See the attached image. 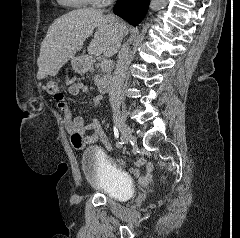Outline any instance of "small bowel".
Returning <instances> with one entry per match:
<instances>
[{"mask_svg":"<svg viewBox=\"0 0 240 238\" xmlns=\"http://www.w3.org/2000/svg\"><path fill=\"white\" fill-rule=\"evenodd\" d=\"M68 92L72 95H78L80 93L88 92L87 86L81 82H72L68 87ZM102 95H98L92 100L93 109L97 108L98 105L103 100ZM58 107L62 113L63 123L67 132L73 137L76 134L81 135L82 142L81 144H74L76 148H81L83 145L92 144L99 140V143H102L103 146H108V151H113L114 147L110 146V141L106 137L101 122L98 118H92L90 121H86L80 116L73 117L69 105L64 101L58 102ZM116 152V151H115ZM115 157V156H114ZM117 166H129V161H123V157L115 158ZM142 162V160H141ZM140 168L139 164H136L135 167H130V172H133L134 175H139L137 180L138 184H141V187H152V182H148L152 179L153 165L149 163L147 165L146 175H140L141 171L137 170Z\"/></svg>","mask_w":240,"mask_h":238,"instance_id":"c3829d8e","label":"small bowel"}]
</instances>
